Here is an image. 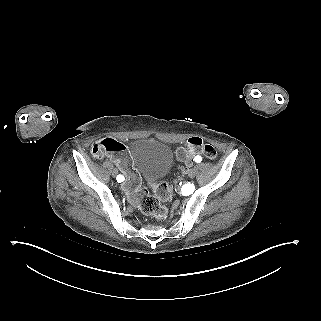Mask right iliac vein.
<instances>
[{
  "label": "right iliac vein",
  "mask_w": 321,
  "mask_h": 321,
  "mask_svg": "<svg viewBox=\"0 0 321 321\" xmlns=\"http://www.w3.org/2000/svg\"><path fill=\"white\" fill-rule=\"evenodd\" d=\"M117 174H118L117 170H116V169H113V170H112V176H113V177H116Z\"/></svg>",
  "instance_id": "63e3f726"
}]
</instances>
